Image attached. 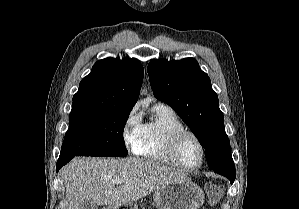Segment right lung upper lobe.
<instances>
[{
    "mask_svg": "<svg viewBox=\"0 0 299 209\" xmlns=\"http://www.w3.org/2000/svg\"><path fill=\"white\" fill-rule=\"evenodd\" d=\"M144 68L134 58H106L94 64L73 96V107L132 110L137 102Z\"/></svg>",
    "mask_w": 299,
    "mask_h": 209,
    "instance_id": "cb5924a9",
    "label": "right lung upper lobe"
}]
</instances>
